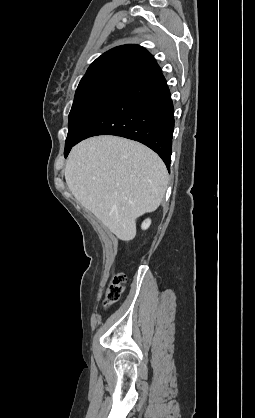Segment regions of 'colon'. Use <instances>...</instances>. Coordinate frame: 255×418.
<instances>
[{"mask_svg": "<svg viewBox=\"0 0 255 418\" xmlns=\"http://www.w3.org/2000/svg\"><path fill=\"white\" fill-rule=\"evenodd\" d=\"M125 275L123 273L115 274L106 291V304L109 305L115 302L123 291V284L125 282Z\"/></svg>", "mask_w": 255, "mask_h": 418, "instance_id": "5ec220e1", "label": "colon"}]
</instances>
